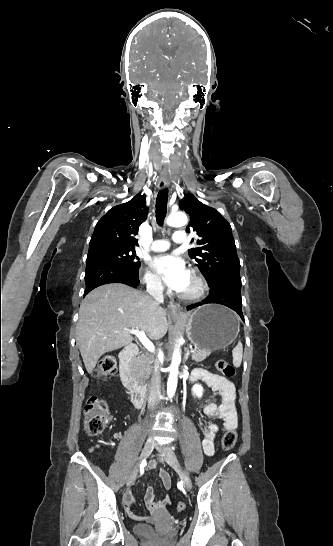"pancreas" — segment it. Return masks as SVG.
<instances>
[{
	"instance_id": "cf45deb5",
	"label": "pancreas",
	"mask_w": 333,
	"mask_h": 546,
	"mask_svg": "<svg viewBox=\"0 0 333 546\" xmlns=\"http://www.w3.org/2000/svg\"><path fill=\"white\" fill-rule=\"evenodd\" d=\"M211 354V350L195 349L192 353V360L202 362ZM154 357L149 353L142 354L136 361L135 378L139 385H144L153 372Z\"/></svg>"
}]
</instances>
